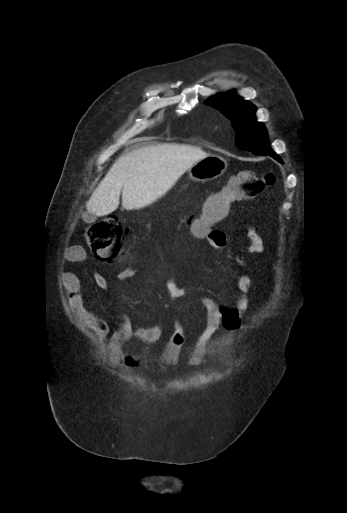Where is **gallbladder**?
<instances>
[{
	"label": "gallbladder",
	"mask_w": 347,
	"mask_h": 513,
	"mask_svg": "<svg viewBox=\"0 0 347 513\" xmlns=\"http://www.w3.org/2000/svg\"><path fill=\"white\" fill-rule=\"evenodd\" d=\"M95 219H96V217L93 216L92 214H87V216H86V221L87 222H90V221L94 222Z\"/></svg>",
	"instance_id": "1"
}]
</instances>
